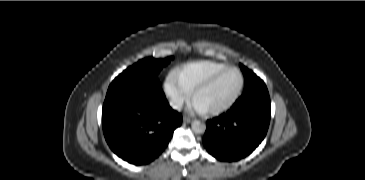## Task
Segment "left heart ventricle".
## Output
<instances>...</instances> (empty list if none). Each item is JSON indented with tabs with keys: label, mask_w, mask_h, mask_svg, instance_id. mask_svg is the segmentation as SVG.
<instances>
[{
	"label": "left heart ventricle",
	"mask_w": 365,
	"mask_h": 180,
	"mask_svg": "<svg viewBox=\"0 0 365 180\" xmlns=\"http://www.w3.org/2000/svg\"><path fill=\"white\" fill-rule=\"evenodd\" d=\"M240 86V75L231 70L216 79L209 87L195 97L194 102L204 110H210L228 103Z\"/></svg>",
	"instance_id": "b2bd125f"
}]
</instances>
